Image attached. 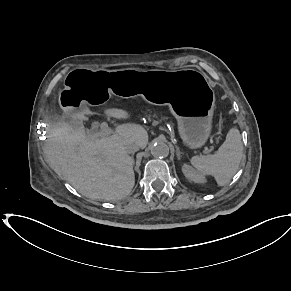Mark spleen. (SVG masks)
I'll return each instance as SVG.
<instances>
[{
	"label": "spleen",
	"instance_id": "obj_1",
	"mask_svg": "<svg viewBox=\"0 0 291 291\" xmlns=\"http://www.w3.org/2000/svg\"><path fill=\"white\" fill-rule=\"evenodd\" d=\"M243 155L241 135L234 127L215 154L193 156L190 162L200 173L213 176L219 186H224L236 174Z\"/></svg>",
	"mask_w": 291,
	"mask_h": 291
}]
</instances>
